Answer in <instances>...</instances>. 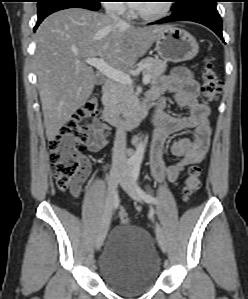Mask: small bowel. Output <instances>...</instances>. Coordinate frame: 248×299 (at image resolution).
I'll list each match as a JSON object with an SVG mask.
<instances>
[{
  "label": "small bowel",
  "mask_w": 248,
  "mask_h": 299,
  "mask_svg": "<svg viewBox=\"0 0 248 299\" xmlns=\"http://www.w3.org/2000/svg\"><path fill=\"white\" fill-rule=\"evenodd\" d=\"M172 93L175 103L180 108L188 109L184 116H170L161 109L164 106V95ZM199 85L193 75L186 69H176L173 73L158 80L148 93V98L154 101L157 111L153 118V141L150 146V170L158 181H176L187 166L200 163L207 155L210 147L211 127L209 123L210 109L199 102ZM194 129L195 138H179L172 142L170 151L176 158L170 165L163 160V150L166 138L176 132ZM87 147L93 153L100 152L108 143L109 127L100 120H94L88 125ZM86 174L90 162L84 159Z\"/></svg>",
  "instance_id": "c3829d8e"
}]
</instances>
